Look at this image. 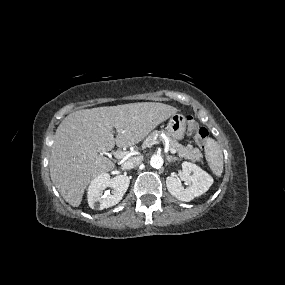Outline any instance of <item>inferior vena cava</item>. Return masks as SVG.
<instances>
[{"mask_svg": "<svg viewBox=\"0 0 285 285\" xmlns=\"http://www.w3.org/2000/svg\"><path fill=\"white\" fill-rule=\"evenodd\" d=\"M141 161L142 160L140 157H132L126 160L125 162H123L122 167L124 169H131V168L138 166L141 163Z\"/></svg>", "mask_w": 285, "mask_h": 285, "instance_id": "obj_1", "label": "inferior vena cava"}]
</instances>
